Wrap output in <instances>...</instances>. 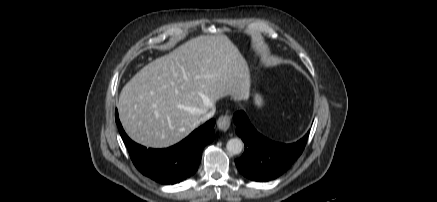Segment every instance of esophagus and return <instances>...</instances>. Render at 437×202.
I'll return each instance as SVG.
<instances>
[{"mask_svg":"<svg viewBox=\"0 0 437 202\" xmlns=\"http://www.w3.org/2000/svg\"><path fill=\"white\" fill-rule=\"evenodd\" d=\"M231 124V118L228 115H222L217 120V126L222 131H227Z\"/></svg>","mask_w":437,"mask_h":202,"instance_id":"obj_1","label":"esophagus"}]
</instances>
